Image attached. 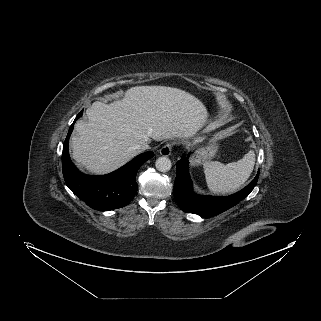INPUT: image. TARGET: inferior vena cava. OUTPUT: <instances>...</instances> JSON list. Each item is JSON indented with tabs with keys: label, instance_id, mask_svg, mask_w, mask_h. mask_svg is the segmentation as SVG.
I'll use <instances>...</instances> for the list:
<instances>
[{
	"label": "inferior vena cava",
	"instance_id": "1",
	"mask_svg": "<svg viewBox=\"0 0 321 321\" xmlns=\"http://www.w3.org/2000/svg\"><path fill=\"white\" fill-rule=\"evenodd\" d=\"M150 147L148 145L147 142H144V143H141L139 145H136L135 146V149L139 152H142V151H145V150H148Z\"/></svg>",
	"mask_w": 321,
	"mask_h": 321
}]
</instances>
